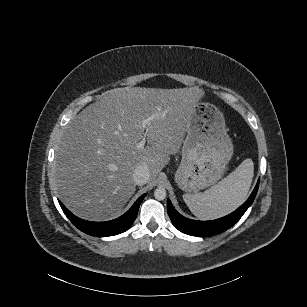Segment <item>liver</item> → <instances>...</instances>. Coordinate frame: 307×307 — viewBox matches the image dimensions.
Masks as SVG:
<instances>
[{
  "mask_svg": "<svg viewBox=\"0 0 307 307\" xmlns=\"http://www.w3.org/2000/svg\"><path fill=\"white\" fill-rule=\"evenodd\" d=\"M201 96L198 87L126 86L82 110L66 127L53 161L56 194L67 209L96 222L119 212L134 194L136 167L147 165L154 180L179 151ZM145 136L148 146L137 150Z\"/></svg>",
  "mask_w": 307,
  "mask_h": 307,
  "instance_id": "obj_1",
  "label": "liver"
}]
</instances>
